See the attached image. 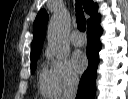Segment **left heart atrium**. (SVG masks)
<instances>
[{
	"instance_id": "39dd6f15",
	"label": "left heart atrium",
	"mask_w": 128,
	"mask_h": 99,
	"mask_svg": "<svg viewBox=\"0 0 128 99\" xmlns=\"http://www.w3.org/2000/svg\"><path fill=\"white\" fill-rule=\"evenodd\" d=\"M73 64L78 72H83L87 67V58L82 52L73 54Z\"/></svg>"
}]
</instances>
